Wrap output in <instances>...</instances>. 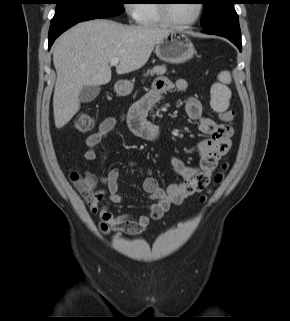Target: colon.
<instances>
[{"mask_svg":"<svg viewBox=\"0 0 290 321\" xmlns=\"http://www.w3.org/2000/svg\"><path fill=\"white\" fill-rule=\"evenodd\" d=\"M219 117L226 121L231 122L234 118V112L231 110L223 111L219 113ZM95 126V119L90 114H82L79 116L76 122V129L80 132H88ZM227 165L223 166V169L215 177V182L219 183L223 179L224 172L227 170ZM69 179L80 195L89 203L94 200L102 198V190L96 187L93 177L89 174L79 171H71L69 173ZM204 199V198H203Z\"/></svg>","mask_w":290,"mask_h":321,"instance_id":"5ec220e1","label":"colon"}]
</instances>
